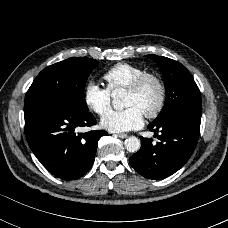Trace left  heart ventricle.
Segmentation results:
<instances>
[{
    "mask_svg": "<svg viewBox=\"0 0 228 228\" xmlns=\"http://www.w3.org/2000/svg\"><path fill=\"white\" fill-rule=\"evenodd\" d=\"M159 96L157 84L154 81H148L139 93H126L125 107H136L144 113L156 106Z\"/></svg>",
    "mask_w": 228,
    "mask_h": 228,
    "instance_id": "left-heart-ventricle-1",
    "label": "left heart ventricle"
}]
</instances>
